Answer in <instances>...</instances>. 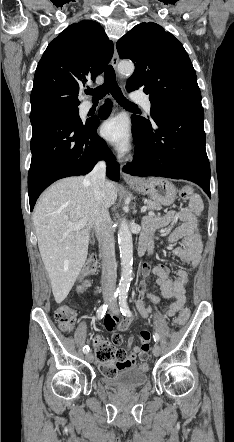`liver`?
Returning <instances> with one entry per match:
<instances>
[{
    "label": "liver",
    "mask_w": 234,
    "mask_h": 442,
    "mask_svg": "<svg viewBox=\"0 0 234 442\" xmlns=\"http://www.w3.org/2000/svg\"><path fill=\"white\" fill-rule=\"evenodd\" d=\"M117 199L114 183L105 182L95 196L84 177H69L53 184L37 201L33 223L42 261L48 272L55 301L61 303L72 289L88 255L89 233L102 208ZM87 224L72 230L69 223L85 219Z\"/></svg>",
    "instance_id": "obj_1"
}]
</instances>
